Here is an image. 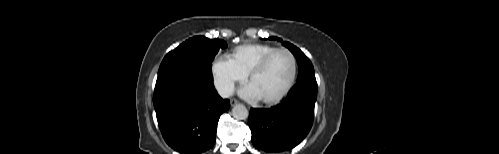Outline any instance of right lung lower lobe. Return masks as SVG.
<instances>
[{
    "mask_svg": "<svg viewBox=\"0 0 499 154\" xmlns=\"http://www.w3.org/2000/svg\"><path fill=\"white\" fill-rule=\"evenodd\" d=\"M154 108L166 143L182 154L213 147L220 115L230 108L202 73L177 75L156 83Z\"/></svg>",
    "mask_w": 499,
    "mask_h": 154,
    "instance_id": "right-lung-lower-lobe-1",
    "label": "right lung lower lobe"
}]
</instances>
